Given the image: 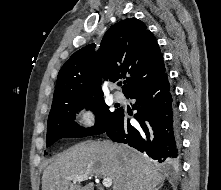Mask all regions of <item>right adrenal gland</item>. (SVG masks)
<instances>
[{"mask_svg": "<svg viewBox=\"0 0 221 190\" xmlns=\"http://www.w3.org/2000/svg\"><path fill=\"white\" fill-rule=\"evenodd\" d=\"M161 186H159L158 188H156L155 190H159Z\"/></svg>", "mask_w": 221, "mask_h": 190, "instance_id": "right-adrenal-gland-1", "label": "right adrenal gland"}]
</instances>
